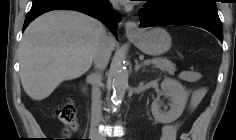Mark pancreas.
Segmentation results:
<instances>
[{"instance_id": "cf45deb5", "label": "pancreas", "mask_w": 236, "mask_h": 140, "mask_svg": "<svg viewBox=\"0 0 236 140\" xmlns=\"http://www.w3.org/2000/svg\"><path fill=\"white\" fill-rule=\"evenodd\" d=\"M152 63L154 67L159 68L160 70L169 74H174V72L176 71L175 64L167 59L156 58L152 60Z\"/></svg>"}]
</instances>
